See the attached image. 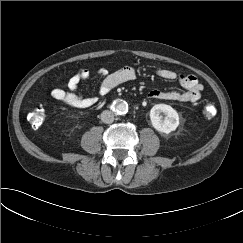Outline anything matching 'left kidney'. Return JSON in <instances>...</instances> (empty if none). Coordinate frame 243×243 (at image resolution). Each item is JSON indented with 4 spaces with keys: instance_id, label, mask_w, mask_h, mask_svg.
Segmentation results:
<instances>
[{
    "instance_id": "1",
    "label": "left kidney",
    "mask_w": 243,
    "mask_h": 243,
    "mask_svg": "<svg viewBox=\"0 0 243 243\" xmlns=\"http://www.w3.org/2000/svg\"><path fill=\"white\" fill-rule=\"evenodd\" d=\"M161 113L165 115L163 118ZM152 126L159 132L169 134L179 125V115L175 109L166 104H156L150 110Z\"/></svg>"
}]
</instances>
